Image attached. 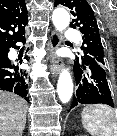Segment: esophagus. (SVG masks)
Instances as JSON below:
<instances>
[{"mask_svg":"<svg viewBox=\"0 0 117 136\" xmlns=\"http://www.w3.org/2000/svg\"><path fill=\"white\" fill-rule=\"evenodd\" d=\"M60 45V36L56 31L51 32L50 36V69L53 76H57L61 70V60L56 55V51Z\"/></svg>","mask_w":117,"mask_h":136,"instance_id":"34e87169","label":"esophagus"}]
</instances>
